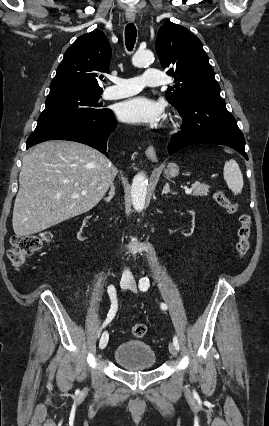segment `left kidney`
<instances>
[{
    "label": "left kidney",
    "instance_id": "left-kidney-1",
    "mask_svg": "<svg viewBox=\"0 0 269 426\" xmlns=\"http://www.w3.org/2000/svg\"><path fill=\"white\" fill-rule=\"evenodd\" d=\"M189 214L192 216V219L189 221L187 227L188 229L182 230V234L186 237H189L192 235L195 227V212L193 210L189 211Z\"/></svg>",
    "mask_w": 269,
    "mask_h": 426
}]
</instances>
